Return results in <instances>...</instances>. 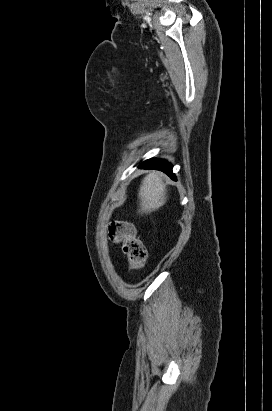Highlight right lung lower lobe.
I'll use <instances>...</instances> for the list:
<instances>
[{
	"instance_id": "98d812e1",
	"label": "right lung lower lobe",
	"mask_w": 272,
	"mask_h": 411,
	"mask_svg": "<svg viewBox=\"0 0 272 411\" xmlns=\"http://www.w3.org/2000/svg\"><path fill=\"white\" fill-rule=\"evenodd\" d=\"M141 167L143 168H149V169H158L166 174H168L172 179L176 180L175 175L172 173V166L170 163L161 160V159H150L141 164Z\"/></svg>"
}]
</instances>
